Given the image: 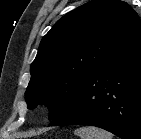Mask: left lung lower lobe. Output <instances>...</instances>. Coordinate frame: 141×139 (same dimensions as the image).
<instances>
[{
  "mask_svg": "<svg viewBox=\"0 0 141 139\" xmlns=\"http://www.w3.org/2000/svg\"><path fill=\"white\" fill-rule=\"evenodd\" d=\"M91 125L123 139H141V31L85 79L49 126Z\"/></svg>",
  "mask_w": 141,
  "mask_h": 139,
  "instance_id": "1",
  "label": "left lung lower lobe"
}]
</instances>
